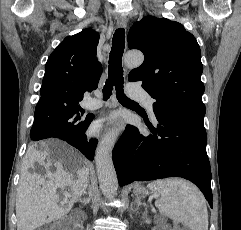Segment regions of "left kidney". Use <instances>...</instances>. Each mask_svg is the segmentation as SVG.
<instances>
[{
	"instance_id": "5707ae66",
	"label": "left kidney",
	"mask_w": 241,
	"mask_h": 230,
	"mask_svg": "<svg viewBox=\"0 0 241 230\" xmlns=\"http://www.w3.org/2000/svg\"><path fill=\"white\" fill-rule=\"evenodd\" d=\"M159 230H160V229H159ZM162 230H167V229H162ZM173 230H182V229L178 228V229H173Z\"/></svg>"
}]
</instances>
